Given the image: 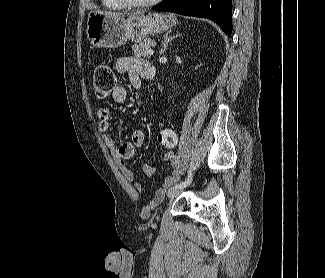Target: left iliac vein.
Masks as SVG:
<instances>
[{"mask_svg": "<svg viewBox=\"0 0 325 278\" xmlns=\"http://www.w3.org/2000/svg\"><path fill=\"white\" fill-rule=\"evenodd\" d=\"M184 187H173L171 189H169L167 196L169 198H174L176 196H178L182 191H183Z\"/></svg>", "mask_w": 325, "mask_h": 278, "instance_id": "4c4485c4", "label": "left iliac vein"}]
</instances>
